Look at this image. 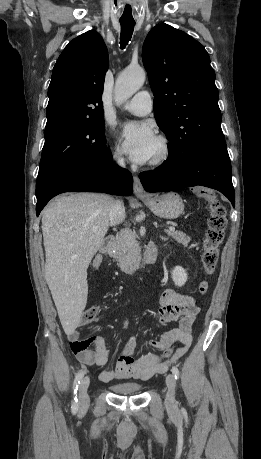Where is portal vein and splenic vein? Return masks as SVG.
Returning a JSON list of instances; mask_svg holds the SVG:
<instances>
[{"label": "portal vein and splenic vein", "mask_w": 261, "mask_h": 459, "mask_svg": "<svg viewBox=\"0 0 261 459\" xmlns=\"http://www.w3.org/2000/svg\"><path fill=\"white\" fill-rule=\"evenodd\" d=\"M170 230H175L173 226L168 227Z\"/></svg>", "instance_id": "1"}]
</instances>
